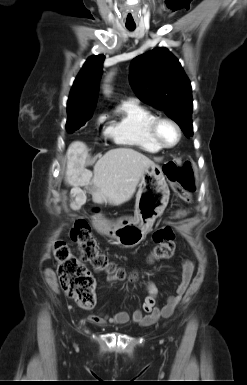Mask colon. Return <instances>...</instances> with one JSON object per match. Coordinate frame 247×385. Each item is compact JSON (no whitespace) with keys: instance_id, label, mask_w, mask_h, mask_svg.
<instances>
[{"instance_id":"1","label":"colon","mask_w":247,"mask_h":385,"mask_svg":"<svg viewBox=\"0 0 247 385\" xmlns=\"http://www.w3.org/2000/svg\"><path fill=\"white\" fill-rule=\"evenodd\" d=\"M163 171L174 192L184 200H191V195L196 188L191 163L186 161L182 165H177L169 161L163 166ZM175 216H180V211H177ZM69 234L71 240L78 244L81 257L74 255L64 241L55 243L54 256L59 283L65 294L79 307L91 309L96 304V283L83 262L91 264L94 271L107 273L117 279H124L126 273L101 250L85 220L75 221ZM153 241L156 245L149 255L150 261L166 260L173 256L175 235L170 225L164 224L159 227L153 234Z\"/></svg>"}]
</instances>
